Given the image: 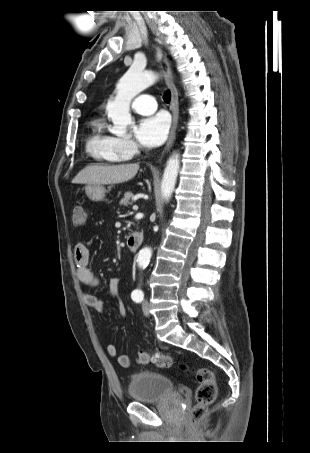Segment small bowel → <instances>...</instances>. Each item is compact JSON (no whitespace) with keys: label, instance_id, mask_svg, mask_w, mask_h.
Listing matches in <instances>:
<instances>
[{"label":"small bowel","instance_id":"small-bowel-1","mask_svg":"<svg viewBox=\"0 0 310 453\" xmlns=\"http://www.w3.org/2000/svg\"><path fill=\"white\" fill-rule=\"evenodd\" d=\"M90 252L88 247L83 243H78L74 248V262L76 267V278L85 286L97 287L99 285V278L93 273L89 267ZM120 283L119 277H111L108 282L109 295L118 302V312L121 316L126 314V306L120 297ZM85 303L97 312H103L105 309L104 302L96 295L85 293L83 295ZM106 351L109 356L117 357L118 364L121 367H129L131 359L127 354L118 355L117 347L113 343L106 346Z\"/></svg>","mask_w":310,"mask_h":453}]
</instances>
